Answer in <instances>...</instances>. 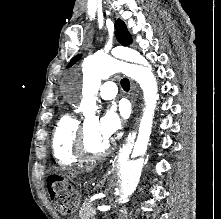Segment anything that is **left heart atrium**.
I'll list each match as a JSON object with an SVG mask.
<instances>
[{"instance_id":"obj_1","label":"left heart atrium","mask_w":221,"mask_h":219,"mask_svg":"<svg viewBox=\"0 0 221 219\" xmlns=\"http://www.w3.org/2000/svg\"><path fill=\"white\" fill-rule=\"evenodd\" d=\"M122 117L126 114L124 111L120 112ZM122 118L114 109H108L102 118L98 121L97 130L101 137L109 141L121 128Z\"/></svg>"}]
</instances>
